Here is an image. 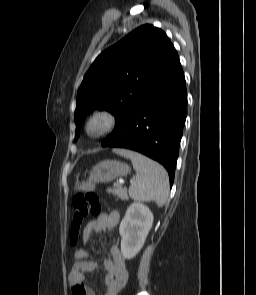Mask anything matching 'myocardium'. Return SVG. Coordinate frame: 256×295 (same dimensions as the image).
Instances as JSON below:
<instances>
[{"instance_id": "myocardium-1", "label": "myocardium", "mask_w": 256, "mask_h": 295, "mask_svg": "<svg viewBox=\"0 0 256 295\" xmlns=\"http://www.w3.org/2000/svg\"><path fill=\"white\" fill-rule=\"evenodd\" d=\"M115 117L105 109L92 112L84 123V132L91 138L102 137L113 130Z\"/></svg>"}]
</instances>
